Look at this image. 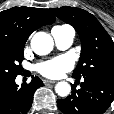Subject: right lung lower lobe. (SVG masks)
<instances>
[{
    "label": "right lung lower lobe",
    "instance_id": "98d812e1",
    "mask_svg": "<svg viewBox=\"0 0 114 114\" xmlns=\"http://www.w3.org/2000/svg\"><path fill=\"white\" fill-rule=\"evenodd\" d=\"M41 86L43 82L36 76H32L31 82L22 84L21 88H18L15 78L0 81V114H27L33 94Z\"/></svg>",
    "mask_w": 114,
    "mask_h": 114
}]
</instances>
